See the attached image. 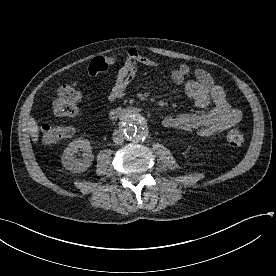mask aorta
Listing matches in <instances>:
<instances>
[{
	"label": "aorta",
	"instance_id": "762f6f07",
	"mask_svg": "<svg viewBox=\"0 0 276 276\" xmlns=\"http://www.w3.org/2000/svg\"><path fill=\"white\" fill-rule=\"evenodd\" d=\"M122 128L126 137L132 141H142L147 134L143 117L139 113H131L124 118Z\"/></svg>",
	"mask_w": 276,
	"mask_h": 276
}]
</instances>
